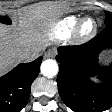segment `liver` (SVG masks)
<instances>
[{
    "instance_id": "obj_1",
    "label": "liver",
    "mask_w": 112,
    "mask_h": 112,
    "mask_svg": "<svg viewBox=\"0 0 112 112\" xmlns=\"http://www.w3.org/2000/svg\"><path fill=\"white\" fill-rule=\"evenodd\" d=\"M63 10L55 3L35 4L22 11L17 27L0 24V75L20 62L22 51L33 49L40 52L46 47L43 28Z\"/></svg>"
}]
</instances>
